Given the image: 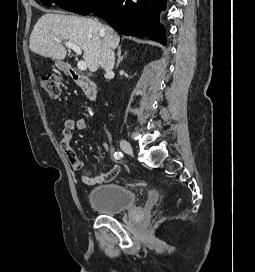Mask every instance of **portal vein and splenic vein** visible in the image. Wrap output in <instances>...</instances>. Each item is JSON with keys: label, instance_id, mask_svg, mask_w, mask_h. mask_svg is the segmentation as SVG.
<instances>
[{"label": "portal vein and splenic vein", "instance_id": "portal-vein-and-splenic-vein-1", "mask_svg": "<svg viewBox=\"0 0 255 272\" xmlns=\"http://www.w3.org/2000/svg\"><path fill=\"white\" fill-rule=\"evenodd\" d=\"M58 42H61L60 40L57 39ZM65 46L69 49H72L77 55H81L82 51H81V48L75 44V43H72V42H66L65 43ZM78 68L82 71L86 70L87 69V64L85 61H78V64H77Z\"/></svg>", "mask_w": 255, "mask_h": 272}]
</instances>
